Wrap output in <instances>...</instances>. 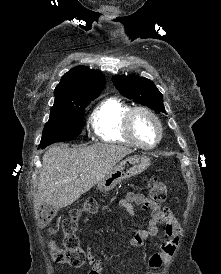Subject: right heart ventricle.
Instances as JSON below:
<instances>
[{"label":"right heart ventricle","mask_w":221,"mask_h":274,"mask_svg":"<svg viewBox=\"0 0 221 274\" xmlns=\"http://www.w3.org/2000/svg\"><path fill=\"white\" fill-rule=\"evenodd\" d=\"M131 108L129 103L117 96L102 99L90 117L95 135L103 141L136 146L125 130V117Z\"/></svg>","instance_id":"1"}]
</instances>
